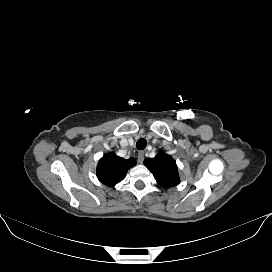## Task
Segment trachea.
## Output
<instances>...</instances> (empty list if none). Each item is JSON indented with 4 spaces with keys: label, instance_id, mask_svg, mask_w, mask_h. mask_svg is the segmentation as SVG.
Listing matches in <instances>:
<instances>
[{
    "label": "trachea",
    "instance_id": "1",
    "mask_svg": "<svg viewBox=\"0 0 272 272\" xmlns=\"http://www.w3.org/2000/svg\"><path fill=\"white\" fill-rule=\"evenodd\" d=\"M147 142L145 139H139L136 143V148L138 150H143L146 148Z\"/></svg>",
    "mask_w": 272,
    "mask_h": 272
}]
</instances>
